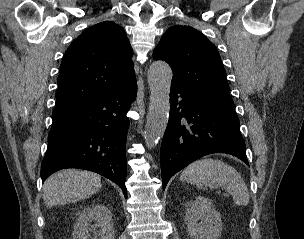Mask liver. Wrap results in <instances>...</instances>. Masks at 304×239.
I'll use <instances>...</instances> for the list:
<instances>
[{"mask_svg":"<svg viewBox=\"0 0 304 239\" xmlns=\"http://www.w3.org/2000/svg\"><path fill=\"white\" fill-rule=\"evenodd\" d=\"M101 176L90 171L66 169L51 175L43 186L47 207L75 203L88 198L101 188Z\"/></svg>","mask_w":304,"mask_h":239,"instance_id":"6515ba94","label":"liver"}]
</instances>
